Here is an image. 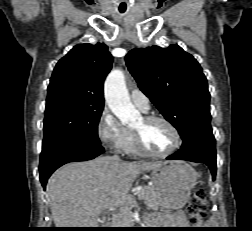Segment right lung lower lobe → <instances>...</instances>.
Wrapping results in <instances>:
<instances>
[{
    "label": "right lung lower lobe",
    "mask_w": 252,
    "mask_h": 231,
    "mask_svg": "<svg viewBox=\"0 0 252 231\" xmlns=\"http://www.w3.org/2000/svg\"><path fill=\"white\" fill-rule=\"evenodd\" d=\"M104 152L100 144L80 140H62L42 148L39 173L43 188L50 175L60 166L73 161H86Z\"/></svg>",
    "instance_id": "1"
}]
</instances>
